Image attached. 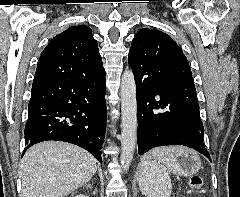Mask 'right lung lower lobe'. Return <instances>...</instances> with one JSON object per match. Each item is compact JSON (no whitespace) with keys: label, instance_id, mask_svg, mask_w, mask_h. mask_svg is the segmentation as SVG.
<instances>
[{"label":"right lung lower lobe","instance_id":"1","mask_svg":"<svg viewBox=\"0 0 240 197\" xmlns=\"http://www.w3.org/2000/svg\"><path fill=\"white\" fill-rule=\"evenodd\" d=\"M105 71L82 79L32 85L25 126V150L47 140L73 143L101 160L106 131Z\"/></svg>","mask_w":240,"mask_h":197}]
</instances>
